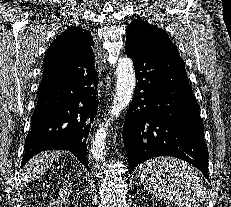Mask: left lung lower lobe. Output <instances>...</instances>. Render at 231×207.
I'll return each mask as SVG.
<instances>
[{"mask_svg": "<svg viewBox=\"0 0 231 207\" xmlns=\"http://www.w3.org/2000/svg\"><path fill=\"white\" fill-rule=\"evenodd\" d=\"M126 53L138 79L123 126L129 173L150 158L172 156L191 163L209 180L204 125L184 61L180 55Z\"/></svg>", "mask_w": 231, "mask_h": 207, "instance_id": "0a47b994", "label": "left lung lower lobe"}]
</instances>
